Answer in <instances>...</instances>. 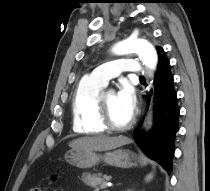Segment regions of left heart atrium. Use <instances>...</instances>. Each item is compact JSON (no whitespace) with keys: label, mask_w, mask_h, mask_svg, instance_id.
<instances>
[{"label":"left heart atrium","mask_w":210,"mask_h":191,"mask_svg":"<svg viewBox=\"0 0 210 191\" xmlns=\"http://www.w3.org/2000/svg\"><path fill=\"white\" fill-rule=\"evenodd\" d=\"M118 104L129 114L133 115L136 108V96L128 83H122L116 95Z\"/></svg>","instance_id":"1"}]
</instances>
